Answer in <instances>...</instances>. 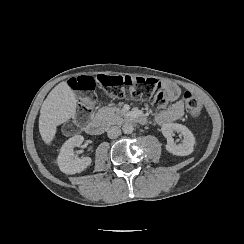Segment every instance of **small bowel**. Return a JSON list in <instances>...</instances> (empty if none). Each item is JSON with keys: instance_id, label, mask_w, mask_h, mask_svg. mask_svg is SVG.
Segmentation results:
<instances>
[{"instance_id": "c3829d8e", "label": "small bowel", "mask_w": 244, "mask_h": 244, "mask_svg": "<svg viewBox=\"0 0 244 244\" xmlns=\"http://www.w3.org/2000/svg\"><path fill=\"white\" fill-rule=\"evenodd\" d=\"M163 88L171 104L156 113L155 120L159 125H166L177 121L183 117L185 112V101L180 98V88L171 82L164 83Z\"/></svg>"}]
</instances>
